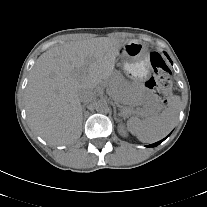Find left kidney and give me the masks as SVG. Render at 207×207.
I'll return each mask as SVG.
<instances>
[{
	"label": "left kidney",
	"instance_id": "1",
	"mask_svg": "<svg viewBox=\"0 0 207 207\" xmlns=\"http://www.w3.org/2000/svg\"><path fill=\"white\" fill-rule=\"evenodd\" d=\"M119 133L122 135V136H126V132H125V130H124V127L121 125V126H119Z\"/></svg>",
	"mask_w": 207,
	"mask_h": 207
}]
</instances>
